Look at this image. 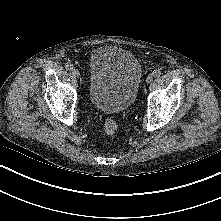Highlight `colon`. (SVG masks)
<instances>
[{"instance_id":"1","label":"colon","mask_w":221,"mask_h":221,"mask_svg":"<svg viewBox=\"0 0 221 221\" xmlns=\"http://www.w3.org/2000/svg\"><path fill=\"white\" fill-rule=\"evenodd\" d=\"M103 129L108 136H113L118 130V124L113 118H106L104 121Z\"/></svg>"}]
</instances>
